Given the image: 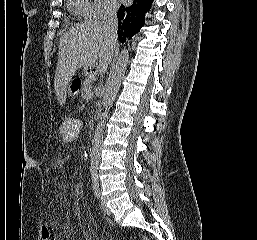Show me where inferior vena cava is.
<instances>
[{"mask_svg":"<svg viewBox=\"0 0 257 240\" xmlns=\"http://www.w3.org/2000/svg\"><path fill=\"white\" fill-rule=\"evenodd\" d=\"M118 4L111 3L107 7L106 16L102 22V29L114 41L117 42L118 19H117Z\"/></svg>","mask_w":257,"mask_h":240,"instance_id":"obj_1","label":"inferior vena cava"}]
</instances>
